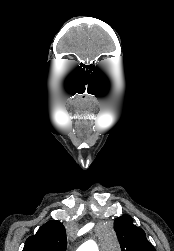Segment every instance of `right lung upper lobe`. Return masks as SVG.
<instances>
[{"label": "right lung upper lobe", "instance_id": "right-lung-upper-lobe-1", "mask_svg": "<svg viewBox=\"0 0 174 251\" xmlns=\"http://www.w3.org/2000/svg\"><path fill=\"white\" fill-rule=\"evenodd\" d=\"M66 232L63 224L50 220L35 235L27 238L23 251H65Z\"/></svg>", "mask_w": 174, "mask_h": 251}]
</instances>
